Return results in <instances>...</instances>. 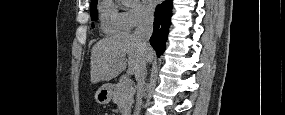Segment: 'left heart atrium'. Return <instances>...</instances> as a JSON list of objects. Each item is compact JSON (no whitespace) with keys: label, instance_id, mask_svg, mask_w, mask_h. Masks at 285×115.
<instances>
[{"label":"left heart atrium","instance_id":"39dd6f15","mask_svg":"<svg viewBox=\"0 0 285 115\" xmlns=\"http://www.w3.org/2000/svg\"><path fill=\"white\" fill-rule=\"evenodd\" d=\"M146 2H147V5H148L149 8L153 7L154 3H155V1H152V0H148Z\"/></svg>","mask_w":285,"mask_h":115}]
</instances>
